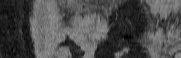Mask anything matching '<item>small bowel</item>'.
<instances>
[{"label": "small bowel", "instance_id": "small-bowel-1", "mask_svg": "<svg viewBox=\"0 0 181 58\" xmlns=\"http://www.w3.org/2000/svg\"><path fill=\"white\" fill-rule=\"evenodd\" d=\"M165 34L173 41L177 40V38L173 35L170 34L168 32H165ZM80 45L82 47V49L85 52V55L87 58H93L94 53L98 50V46L96 44H91V45H87L84 42H80ZM156 47H158L161 51L163 52H167L169 54H175L177 52H179L181 50V45H177L174 47H166L164 45H156ZM130 51V48H124L118 52L115 53L114 57L115 58H122L124 57V55H126L128 52ZM60 53L65 54L66 53V48H61L60 49Z\"/></svg>", "mask_w": 181, "mask_h": 58}]
</instances>
